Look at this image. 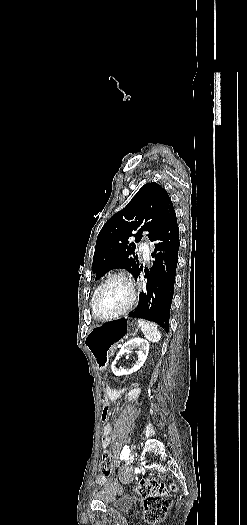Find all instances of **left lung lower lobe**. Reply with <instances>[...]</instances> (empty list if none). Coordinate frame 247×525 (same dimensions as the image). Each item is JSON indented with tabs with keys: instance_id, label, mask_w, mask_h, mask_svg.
Wrapping results in <instances>:
<instances>
[{
	"instance_id": "0a47b994",
	"label": "left lung lower lobe",
	"mask_w": 247,
	"mask_h": 525,
	"mask_svg": "<svg viewBox=\"0 0 247 525\" xmlns=\"http://www.w3.org/2000/svg\"><path fill=\"white\" fill-rule=\"evenodd\" d=\"M150 241L155 245L152 253L155 260L150 270L145 269V289L139 294L138 306L129 317L156 322L168 331L180 244L175 212L155 231Z\"/></svg>"
}]
</instances>
